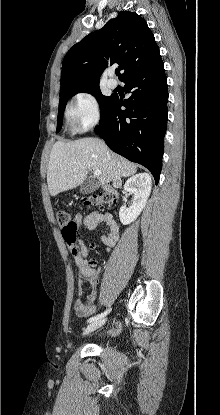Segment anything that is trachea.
<instances>
[{
    "mask_svg": "<svg viewBox=\"0 0 220 415\" xmlns=\"http://www.w3.org/2000/svg\"><path fill=\"white\" fill-rule=\"evenodd\" d=\"M115 73H116V75H117V76L119 75V71H118V70H116V72H115Z\"/></svg>",
    "mask_w": 220,
    "mask_h": 415,
    "instance_id": "obj_1",
    "label": "trachea"
}]
</instances>
